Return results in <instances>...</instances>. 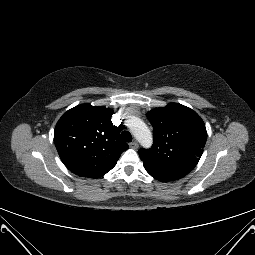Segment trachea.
I'll return each mask as SVG.
<instances>
[{"label":"trachea","instance_id":"trachea-1","mask_svg":"<svg viewBox=\"0 0 255 255\" xmlns=\"http://www.w3.org/2000/svg\"><path fill=\"white\" fill-rule=\"evenodd\" d=\"M121 139L125 142H131L132 141V136L130 134V132L128 131H123L121 133Z\"/></svg>","mask_w":255,"mask_h":255}]
</instances>
